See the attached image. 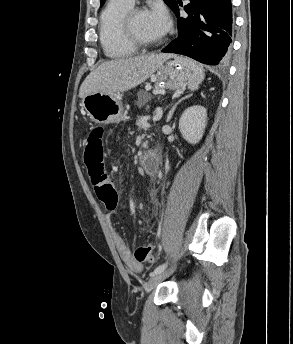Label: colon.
I'll return each instance as SVG.
<instances>
[{
    "label": "colon",
    "mask_w": 293,
    "mask_h": 344,
    "mask_svg": "<svg viewBox=\"0 0 293 344\" xmlns=\"http://www.w3.org/2000/svg\"><path fill=\"white\" fill-rule=\"evenodd\" d=\"M84 158L98 199L107 209H116L118 205V192L104 172V131L101 127H96L90 131L87 137ZM134 258L139 262L153 261L154 245L150 242L139 245L134 251Z\"/></svg>",
    "instance_id": "colon-1"
}]
</instances>
